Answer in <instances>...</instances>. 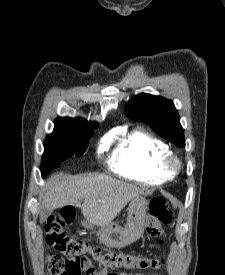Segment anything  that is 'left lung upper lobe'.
<instances>
[{"label": "left lung upper lobe", "instance_id": "5c2ea615", "mask_svg": "<svg viewBox=\"0 0 225 275\" xmlns=\"http://www.w3.org/2000/svg\"><path fill=\"white\" fill-rule=\"evenodd\" d=\"M125 114L132 120L148 124L160 136L177 146H185L178 111L171 100L141 93L126 103Z\"/></svg>", "mask_w": 225, "mask_h": 275}]
</instances>
